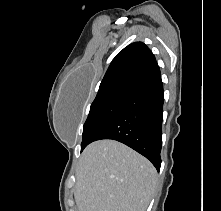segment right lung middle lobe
I'll use <instances>...</instances> for the list:
<instances>
[{"label":"right lung middle lobe","mask_w":221,"mask_h":211,"mask_svg":"<svg viewBox=\"0 0 221 211\" xmlns=\"http://www.w3.org/2000/svg\"><path fill=\"white\" fill-rule=\"evenodd\" d=\"M134 92V89L119 88L96 96L83 126L81 148L90 143L97 133L120 111Z\"/></svg>","instance_id":"1"}]
</instances>
